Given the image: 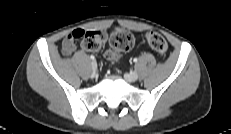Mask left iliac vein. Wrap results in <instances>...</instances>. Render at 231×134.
Instances as JSON below:
<instances>
[{"instance_id": "obj_1", "label": "left iliac vein", "mask_w": 231, "mask_h": 134, "mask_svg": "<svg viewBox=\"0 0 231 134\" xmlns=\"http://www.w3.org/2000/svg\"><path fill=\"white\" fill-rule=\"evenodd\" d=\"M126 79L128 81H136L138 79V73L136 71L130 72L129 74H126Z\"/></svg>"}]
</instances>
